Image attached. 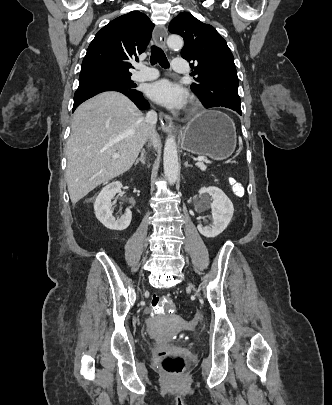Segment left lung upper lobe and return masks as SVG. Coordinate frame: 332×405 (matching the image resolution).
Listing matches in <instances>:
<instances>
[{
	"instance_id": "1",
	"label": "left lung upper lobe",
	"mask_w": 332,
	"mask_h": 405,
	"mask_svg": "<svg viewBox=\"0 0 332 405\" xmlns=\"http://www.w3.org/2000/svg\"><path fill=\"white\" fill-rule=\"evenodd\" d=\"M169 31L184 39L181 56L192 62L196 83L191 89L204 107L241 111L234 57L216 29L183 12L171 21Z\"/></svg>"
}]
</instances>
